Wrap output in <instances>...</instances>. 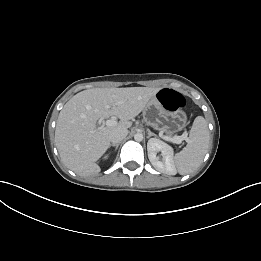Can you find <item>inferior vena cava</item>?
<instances>
[{
  "mask_svg": "<svg viewBox=\"0 0 261 261\" xmlns=\"http://www.w3.org/2000/svg\"><path fill=\"white\" fill-rule=\"evenodd\" d=\"M128 135V130L126 128H117L114 129L109 134V140L112 144L120 143Z\"/></svg>",
  "mask_w": 261,
  "mask_h": 261,
  "instance_id": "inferior-vena-cava-1",
  "label": "inferior vena cava"
}]
</instances>
